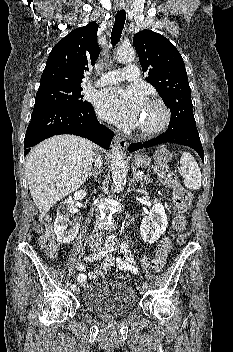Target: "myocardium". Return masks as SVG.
<instances>
[{
  "instance_id": "1",
  "label": "myocardium",
  "mask_w": 233,
  "mask_h": 352,
  "mask_svg": "<svg viewBox=\"0 0 233 352\" xmlns=\"http://www.w3.org/2000/svg\"><path fill=\"white\" fill-rule=\"evenodd\" d=\"M147 102L152 103L159 108V110L161 112V118L153 126L138 127V131L142 135L152 136V135H155V134L161 132L162 130H164L167 127V125L169 124L170 119H171V113H170L168 106L164 103V101L156 96L149 97L147 99Z\"/></svg>"
}]
</instances>
